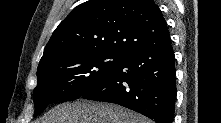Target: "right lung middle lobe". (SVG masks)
Masks as SVG:
<instances>
[{
	"label": "right lung middle lobe",
	"instance_id": "obj_1",
	"mask_svg": "<svg viewBox=\"0 0 221 123\" xmlns=\"http://www.w3.org/2000/svg\"><path fill=\"white\" fill-rule=\"evenodd\" d=\"M125 57V53L92 50L38 66L34 116L41 114L50 103L80 98L93 86L104 82Z\"/></svg>",
	"mask_w": 221,
	"mask_h": 123
}]
</instances>
